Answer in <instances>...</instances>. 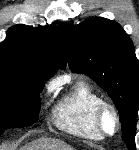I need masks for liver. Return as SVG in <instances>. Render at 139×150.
I'll use <instances>...</instances> for the list:
<instances>
[{"mask_svg":"<svg viewBox=\"0 0 139 150\" xmlns=\"http://www.w3.org/2000/svg\"><path fill=\"white\" fill-rule=\"evenodd\" d=\"M26 148V150H74L65 142L51 138L39 139Z\"/></svg>","mask_w":139,"mask_h":150,"instance_id":"1","label":"liver"}]
</instances>
